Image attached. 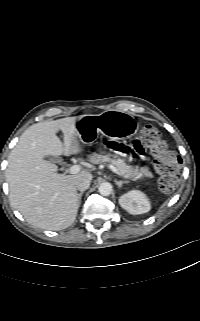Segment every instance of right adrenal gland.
<instances>
[{
	"instance_id": "1",
	"label": "right adrenal gland",
	"mask_w": 200,
	"mask_h": 321,
	"mask_svg": "<svg viewBox=\"0 0 200 321\" xmlns=\"http://www.w3.org/2000/svg\"><path fill=\"white\" fill-rule=\"evenodd\" d=\"M84 192H80L78 194V204L80 205L81 204V198H82V195H83Z\"/></svg>"
}]
</instances>
